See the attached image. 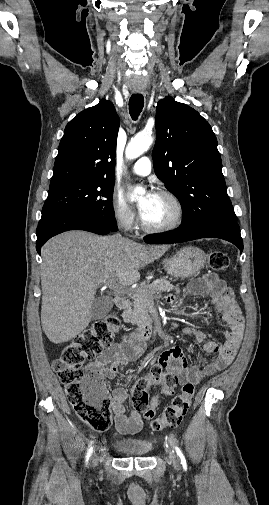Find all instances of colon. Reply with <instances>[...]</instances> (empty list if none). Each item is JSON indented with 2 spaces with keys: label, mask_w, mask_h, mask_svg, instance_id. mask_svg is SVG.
Returning a JSON list of instances; mask_svg holds the SVG:
<instances>
[{
  "label": "colon",
  "mask_w": 269,
  "mask_h": 505,
  "mask_svg": "<svg viewBox=\"0 0 269 505\" xmlns=\"http://www.w3.org/2000/svg\"><path fill=\"white\" fill-rule=\"evenodd\" d=\"M208 264L215 271H223L229 266L228 255L221 250H213L209 253ZM118 328L119 320L115 315L96 322L67 344L53 362V369L65 386L67 398L76 415L96 431H106L111 426L109 400L103 378L86 372L83 364L111 346ZM152 384H160L165 394H173L177 380L153 368L147 376L139 379L133 389L132 401L136 410L147 419L155 415L147 391ZM194 394L195 385L184 384L181 392L173 397L160 416L153 419L152 429L162 431L179 425L190 408Z\"/></svg>",
  "instance_id": "obj_1"
}]
</instances>
